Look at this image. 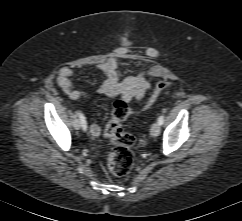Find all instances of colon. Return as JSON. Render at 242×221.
<instances>
[{
	"mask_svg": "<svg viewBox=\"0 0 242 221\" xmlns=\"http://www.w3.org/2000/svg\"><path fill=\"white\" fill-rule=\"evenodd\" d=\"M169 84L167 81H160L148 99L145 108H149ZM132 113L133 110L128 102L119 99L114 103L111 116L106 125V135L112 147L106 153L104 162L107 169L113 175L119 177L129 174L133 166L134 157L131 148L134 145L135 139L123 129V122Z\"/></svg>",
	"mask_w": 242,
	"mask_h": 221,
	"instance_id": "obj_1",
	"label": "colon"
}]
</instances>
